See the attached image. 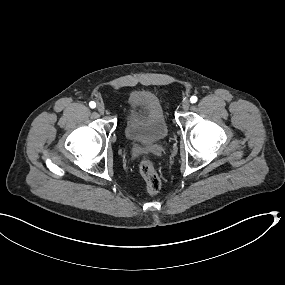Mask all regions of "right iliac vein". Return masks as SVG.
Wrapping results in <instances>:
<instances>
[{
    "instance_id": "obj_1",
    "label": "right iliac vein",
    "mask_w": 285,
    "mask_h": 285,
    "mask_svg": "<svg viewBox=\"0 0 285 285\" xmlns=\"http://www.w3.org/2000/svg\"><path fill=\"white\" fill-rule=\"evenodd\" d=\"M97 111H98L100 114H103L104 111H105L104 105L99 104V105L97 106Z\"/></svg>"
}]
</instances>
